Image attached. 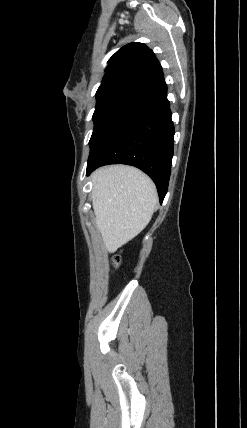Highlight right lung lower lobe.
<instances>
[{
	"instance_id": "obj_1",
	"label": "right lung lower lobe",
	"mask_w": 247,
	"mask_h": 428,
	"mask_svg": "<svg viewBox=\"0 0 247 428\" xmlns=\"http://www.w3.org/2000/svg\"><path fill=\"white\" fill-rule=\"evenodd\" d=\"M174 126L164 78L141 92L102 130L93 143L87 175L106 164H128L156 184L160 203L167 193Z\"/></svg>"
}]
</instances>
